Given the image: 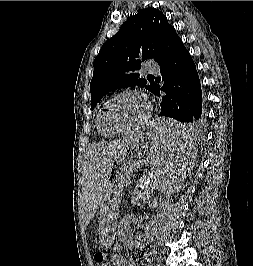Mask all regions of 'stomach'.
I'll return each mask as SVG.
<instances>
[{"label":"stomach","instance_id":"1","mask_svg":"<svg viewBox=\"0 0 253 266\" xmlns=\"http://www.w3.org/2000/svg\"><path fill=\"white\" fill-rule=\"evenodd\" d=\"M160 138L166 137L163 132H156L154 129L150 135V142H144L142 137L136 138L124 153L113 161L106 177L107 197H105L104 212L98 229L100 247L109 248L114 243L123 183L134 170L143 165L144 160H153L152 151L155 145H160Z\"/></svg>","mask_w":253,"mask_h":266}]
</instances>
